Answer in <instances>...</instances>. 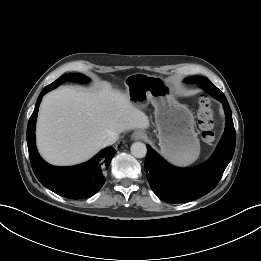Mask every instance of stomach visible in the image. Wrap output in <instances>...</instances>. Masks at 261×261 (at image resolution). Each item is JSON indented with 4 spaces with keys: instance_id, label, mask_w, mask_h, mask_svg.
Returning a JSON list of instances; mask_svg holds the SVG:
<instances>
[{
    "instance_id": "1",
    "label": "stomach",
    "mask_w": 261,
    "mask_h": 261,
    "mask_svg": "<svg viewBox=\"0 0 261 261\" xmlns=\"http://www.w3.org/2000/svg\"><path fill=\"white\" fill-rule=\"evenodd\" d=\"M126 94L139 109L146 107L149 102L154 106L159 146L167 160L185 166L198 158L200 143L194 130L193 114L174 98L163 78L143 73L132 74L126 79Z\"/></svg>"
}]
</instances>
